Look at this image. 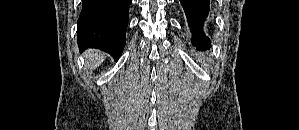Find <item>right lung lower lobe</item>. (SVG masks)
<instances>
[{"mask_svg": "<svg viewBox=\"0 0 299 130\" xmlns=\"http://www.w3.org/2000/svg\"><path fill=\"white\" fill-rule=\"evenodd\" d=\"M131 0H83L78 19L80 50L95 48L115 60L122 54Z\"/></svg>", "mask_w": 299, "mask_h": 130, "instance_id": "98d812e1", "label": "right lung lower lobe"}]
</instances>
